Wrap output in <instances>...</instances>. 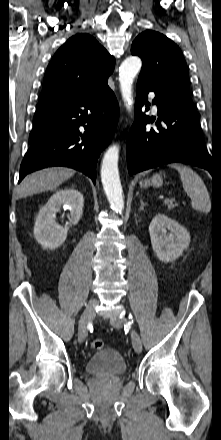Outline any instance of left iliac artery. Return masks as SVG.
I'll return each instance as SVG.
<instances>
[{
    "label": "left iliac artery",
    "instance_id": "left-iliac-artery-1",
    "mask_svg": "<svg viewBox=\"0 0 221 440\" xmlns=\"http://www.w3.org/2000/svg\"><path fill=\"white\" fill-rule=\"evenodd\" d=\"M129 318H132L131 314L129 315Z\"/></svg>",
    "mask_w": 221,
    "mask_h": 440
}]
</instances>
